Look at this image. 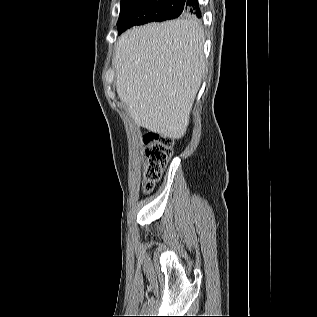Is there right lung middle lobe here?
Wrapping results in <instances>:
<instances>
[{
	"instance_id": "obj_1",
	"label": "right lung middle lobe",
	"mask_w": 317,
	"mask_h": 317,
	"mask_svg": "<svg viewBox=\"0 0 317 317\" xmlns=\"http://www.w3.org/2000/svg\"><path fill=\"white\" fill-rule=\"evenodd\" d=\"M178 0H122L118 20L119 34L135 25L152 21H164L177 18H192L184 12Z\"/></svg>"
}]
</instances>
